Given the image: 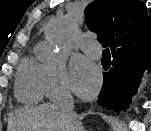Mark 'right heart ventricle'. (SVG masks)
Here are the masks:
<instances>
[{
    "instance_id": "right-heart-ventricle-1",
    "label": "right heart ventricle",
    "mask_w": 151,
    "mask_h": 131,
    "mask_svg": "<svg viewBox=\"0 0 151 131\" xmlns=\"http://www.w3.org/2000/svg\"><path fill=\"white\" fill-rule=\"evenodd\" d=\"M15 95L26 104H36L45 95L40 64L32 58H26L20 64L15 83Z\"/></svg>"
}]
</instances>
